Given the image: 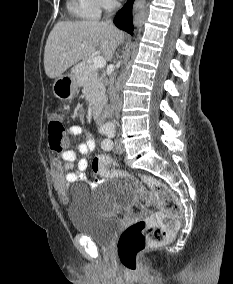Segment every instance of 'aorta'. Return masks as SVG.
<instances>
[{
    "instance_id": "obj_1",
    "label": "aorta",
    "mask_w": 233,
    "mask_h": 284,
    "mask_svg": "<svg viewBox=\"0 0 233 284\" xmlns=\"http://www.w3.org/2000/svg\"><path fill=\"white\" fill-rule=\"evenodd\" d=\"M109 125H110V126H113V124H112V123H110Z\"/></svg>"
}]
</instances>
